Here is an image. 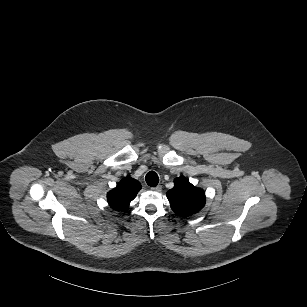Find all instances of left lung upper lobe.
<instances>
[{
    "label": "left lung upper lobe",
    "mask_w": 307,
    "mask_h": 307,
    "mask_svg": "<svg viewBox=\"0 0 307 307\" xmlns=\"http://www.w3.org/2000/svg\"><path fill=\"white\" fill-rule=\"evenodd\" d=\"M172 210L180 216H189L200 211L205 205V194L193 186L185 177L175 179V185L167 192Z\"/></svg>",
    "instance_id": "obj_1"
}]
</instances>
